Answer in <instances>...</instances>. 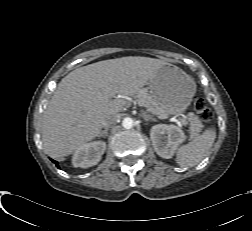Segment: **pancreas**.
<instances>
[{
	"label": "pancreas",
	"instance_id": "1",
	"mask_svg": "<svg viewBox=\"0 0 252 231\" xmlns=\"http://www.w3.org/2000/svg\"><path fill=\"white\" fill-rule=\"evenodd\" d=\"M136 102L147 108L149 112L152 114L163 116L165 117V114H162L161 109L157 106L156 102L154 101L151 94H149L147 89H140L136 95ZM188 122L190 124L189 132L192 136H196L202 129L203 125L201 120L194 114L188 115Z\"/></svg>",
	"mask_w": 252,
	"mask_h": 231
}]
</instances>
